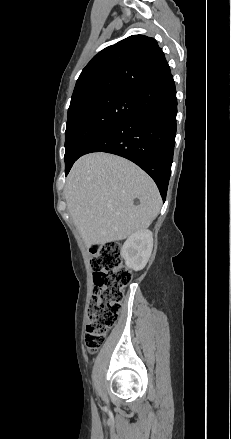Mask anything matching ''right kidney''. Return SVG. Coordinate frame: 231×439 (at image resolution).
<instances>
[{"instance_id":"1","label":"right kidney","mask_w":231,"mask_h":439,"mask_svg":"<svg viewBox=\"0 0 231 439\" xmlns=\"http://www.w3.org/2000/svg\"><path fill=\"white\" fill-rule=\"evenodd\" d=\"M153 236L149 230L133 233L121 248V256L126 265L134 271L142 270L151 255Z\"/></svg>"}]
</instances>
